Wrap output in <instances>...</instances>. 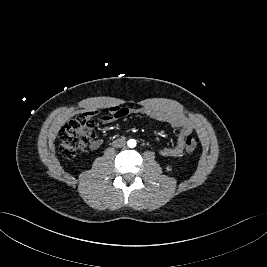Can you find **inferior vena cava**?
I'll list each match as a JSON object with an SVG mask.
<instances>
[{
	"mask_svg": "<svg viewBox=\"0 0 267 267\" xmlns=\"http://www.w3.org/2000/svg\"><path fill=\"white\" fill-rule=\"evenodd\" d=\"M125 144H126V141L123 138H118V139L113 141V147H115V148L124 147Z\"/></svg>",
	"mask_w": 267,
	"mask_h": 267,
	"instance_id": "inferior-vena-cava-1",
	"label": "inferior vena cava"
}]
</instances>
